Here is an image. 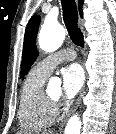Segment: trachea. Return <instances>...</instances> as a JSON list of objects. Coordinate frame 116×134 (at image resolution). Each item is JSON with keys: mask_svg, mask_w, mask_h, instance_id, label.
I'll return each instance as SVG.
<instances>
[{"mask_svg": "<svg viewBox=\"0 0 116 134\" xmlns=\"http://www.w3.org/2000/svg\"><path fill=\"white\" fill-rule=\"evenodd\" d=\"M63 19L67 31L73 43L84 47V37L81 29L78 27V11L75 0H61Z\"/></svg>", "mask_w": 116, "mask_h": 134, "instance_id": "1", "label": "trachea"}]
</instances>
